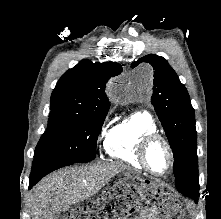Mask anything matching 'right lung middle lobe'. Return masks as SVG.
Here are the masks:
<instances>
[{
  "label": "right lung middle lobe",
  "instance_id": "right-lung-middle-lobe-1",
  "mask_svg": "<svg viewBox=\"0 0 221 219\" xmlns=\"http://www.w3.org/2000/svg\"><path fill=\"white\" fill-rule=\"evenodd\" d=\"M107 112L88 114L51 109L47 130L36 146L34 157L49 154L74 163L94 160L97 137Z\"/></svg>",
  "mask_w": 221,
  "mask_h": 219
}]
</instances>
